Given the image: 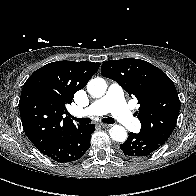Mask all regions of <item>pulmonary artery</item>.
<instances>
[{
	"instance_id": "pulmonary-artery-1",
	"label": "pulmonary artery",
	"mask_w": 196,
	"mask_h": 196,
	"mask_svg": "<svg viewBox=\"0 0 196 196\" xmlns=\"http://www.w3.org/2000/svg\"><path fill=\"white\" fill-rule=\"evenodd\" d=\"M110 112L123 126L130 130H138L139 123L127 107L123 90L116 84H112L106 95L87 106L75 110L79 117L101 116Z\"/></svg>"
}]
</instances>
